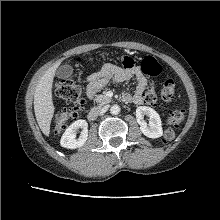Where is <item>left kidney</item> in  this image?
<instances>
[{"instance_id": "left-kidney-1", "label": "left kidney", "mask_w": 220, "mask_h": 220, "mask_svg": "<svg viewBox=\"0 0 220 220\" xmlns=\"http://www.w3.org/2000/svg\"><path fill=\"white\" fill-rule=\"evenodd\" d=\"M144 115L149 117V124L143 119ZM136 119L140 125L141 132L149 138H159L163 135V129L159 114L152 108L139 106L136 109Z\"/></svg>"}]
</instances>
